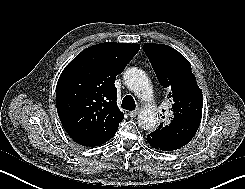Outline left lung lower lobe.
I'll use <instances>...</instances> for the list:
<instances>
[{
	"mask_svg": "<svg viewBox=\"0 0 245 189\" xmlns=\"http://www.w3.org/2000/svg\"><path fill=\"white\" fill-rule=\"evenodd\" d=\"M147 141H148V143H149L153 148L161 149V150H163V151H166V150H164V149H162V148H159V147H158L152 140H150V139L147 138Z\"/></svg>",
	"mask_w": 245,
	"mask_h": 189,
	"instance_id": "obj_1",
	"label": "left lung lower lobe"
}]
</instances>
